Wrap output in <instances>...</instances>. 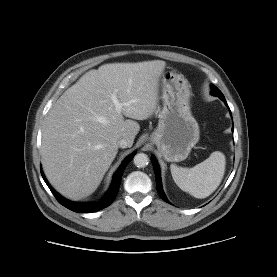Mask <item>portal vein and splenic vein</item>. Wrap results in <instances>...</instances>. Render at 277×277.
<instances>
[{
	"label": "portal vein and splenic vein",
	"mask_w": 277,
	"mask_h": 277,
	"mask_svg": "<svg viewBox=\"0 0 277 277\" xmlns=\"http://www.w3.org/2000/svg\"><path fill=\"white\" fill-rule=\"evenodd\" d=\"M111 100L113 101L115 108L119 111L121 110L123 105H126V103L125 104L120 103L115 94L111 95Z\"/></svg>",
	"instance_id": "portal-vein-and-splenic-vein-1"
}]
</instances>
